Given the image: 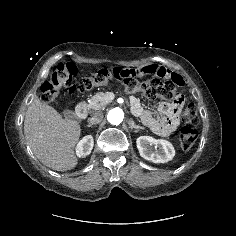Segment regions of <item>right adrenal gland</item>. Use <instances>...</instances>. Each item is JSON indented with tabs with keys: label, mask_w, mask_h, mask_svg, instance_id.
I'll list each match as a JSON object with an SVG mask.
<instances>
[{
	"label": "right adrenal gland",
	"mask_w": 236,
	"mask_h": 236,
	"mask_svg": "<svg viewBox=\"0 0 236 236\" xmlns=\"http://www.w3.org/2000/svg\"><path fill=\"white\" fill-rule=\"evenodd\" d=\"M87 127H92L91 125H87Z\"/></svg>",
	"instance_id": "2a0ac1e0"
}]
</instances>
